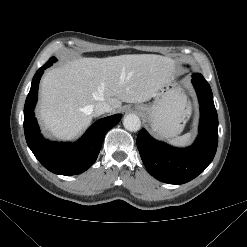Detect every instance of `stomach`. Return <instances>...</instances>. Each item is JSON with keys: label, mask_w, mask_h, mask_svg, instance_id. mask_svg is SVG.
<instances>
[{"label": "stomach", "mask_w": 247, "mask_h": 247, "mask_svg": "<svg viewBox=\"0 0 247 247\" xmlns=\"http://www.w3.org/2000/svg\"><path fill=\"white\" fill-rule=\"evenodd\" d=\"M174 78L175 75L172 71L167 83L157 91L152 104L136 106L152 130L165 138L179 135L191 113L185 96L173 84Z\"/></svg>", "instance_id": "0dacf381"}]
</instances>
